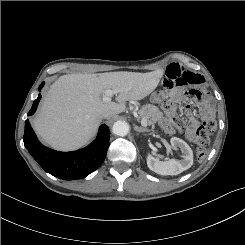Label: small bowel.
I'll list each match as a JSON object with an SVG mask.
<instances>
[{"instance_id": "1", "label": "small bowel", "mask_w": 245, "mask_h": 245, "mask_svg": "<svg viewBox=\"0 0 245 245\" xmlns=\"http://www.w3.org/2000/svg\"><path fill=\"white\" fill-rule=\"evenodd\" d=\"M162 84L163 87L168 90L182 85L202 87L204 85V78L200 74L185 70L179 65H171L165 71ZM184 98L188 102L201 103L205 98V93L200 89H190L185 92ZM186 114L188 116L189 125L186 127L184 132L188 137H191L193 130L198 125V121L192 115L190 108L186 109ZM212 114L213 109L209 105L202 106L201 115L203 117H210ZM161 125L168 132H174L176 129L173 126L172 117L170 115H168V118L162 120ZM180 130L183 131V129Z\"/></svg>"}]
</instances>
